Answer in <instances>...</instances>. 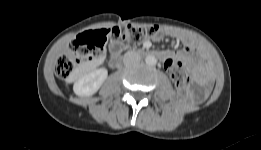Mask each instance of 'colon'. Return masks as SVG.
<instances>
[{
  "label": "colon",
  "instance_id": "1",
  "mask_svg": "<svg viewBox=\"0 0 261 150\" xmlns=\"http://www.w3.org/2000/svg\"><path fill=\"white\" fill-rule=\"evenodd\" d=\"M156 26H116L111 29H98L79 35L59 57L55 73L60 79H68L79 65L100 57L108 39L121 41L128 47H134L143 40L158 34ZM167 70L178 87H184L189 80L182 62L170 60Z\"/></svg>",
  "mask_w": 261,
  "mask_h": 150
}]
</instances>
